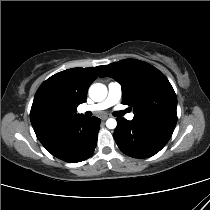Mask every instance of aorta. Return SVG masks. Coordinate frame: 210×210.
Instances as JSON below:
<instances>
[{"mask_svg": "<svg viewBox=\"0 0 210 210\" xmlns=\"http://www.w3.org/2000/svg\"><path fill=\"white\" fill-rule=\"evenodd\" d=\"M89 96L95 102H101L105 100L107 96V87L101 83H95L89 88ZM106 126L109 129H115L117 126V121L110 118L106 121Z\"/></svg>", "mask_w": 210, "mask_h": 210, "instance_id": "762f6f07", "label": "aorta"}]
</instances>
